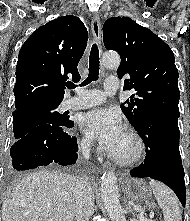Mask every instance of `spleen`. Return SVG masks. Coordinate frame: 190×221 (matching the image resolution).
Instances as JSON below:
<instances>
[{
  "label": "spleen",
  "instance_id": "1",
  "mask_svg": "<svg viewBox=\"0 0 190 221\" xmlns=\"http://www.w3.org/2000/svg\"><path fill=\"white\" fill-rule=\"evenodd\" d=\"M149 184L158 205L163 211L164 221H182L178 199L172 190L155 180H150Z\"/></svg>",
  "mask_w": 190,
  "mask_h": 221
}]
</instances>
